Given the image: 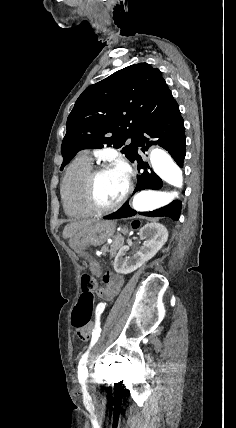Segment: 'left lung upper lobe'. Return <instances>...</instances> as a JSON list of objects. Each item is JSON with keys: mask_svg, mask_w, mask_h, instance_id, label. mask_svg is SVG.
I'll use <instances>...</instances> for the list:
<instances>
[{"mask_svg": "<svg viewBox=\"0 0 236 428\" xmlns=\"http://www.w3.org/2000/svg\"><path fill=\"white\" fill-rule=\"evenodd\" d=\"M174 100L162 74L147 63L123 68L87 87L68 116L60 170L82 149L122 148L134 162L143 127ZM128 138L132 141L125 145Z\"/></svg>", "mask_w": 236, "mask_h": 428, "instance_id": "1", "label": "left lung upper lobe"}]
</instances>
